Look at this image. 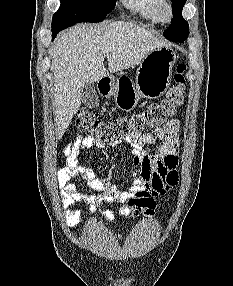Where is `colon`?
Wrapping results in <instances>:
<instances>
[{"mask_svg": "<svg viewBox=\"0 0 233 286\" xmlns=\"http://www.w3.org/2000/svg\"><path fill=\"white\" fill-rule=\"evenodd\" d=\"M185 70L184 64L177 65L174 75L175 85L164 98L150 104L146 109L129 116L107 119L96 111L83 108L78 111L76 125L99 141L114 143L141 134L147 128L164 123L184 104ZM150 204L151 197L147 191L137 193L128 202L132 214L144 211Z\"/></svg>", "mask_w": 233, "mask_h": 286, "instance_id": "obj_1", "label": "colon"}]
</instances>
